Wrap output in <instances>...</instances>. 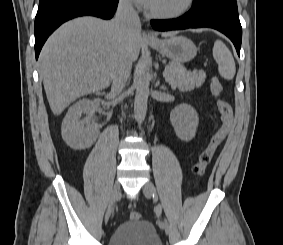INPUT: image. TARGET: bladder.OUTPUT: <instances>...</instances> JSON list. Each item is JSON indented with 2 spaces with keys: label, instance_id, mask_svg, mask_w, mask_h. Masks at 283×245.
<instances>
[{
  "label": "bladder",
  "instance_id": "31cf9c89",
  "mask_svg": "<svg viewBox=\"0 0 283 245\" xmlns=\"http://www.w3.org/2000/svg\"><path fill=\"white\" fill-rule=\"evenodd\" d=\"M108 245H163L153 223L146 220L125 221L111 233Z\"/></svg>",
  "mask_w": 283,
  "mask_h": 245
}]
</instances>
